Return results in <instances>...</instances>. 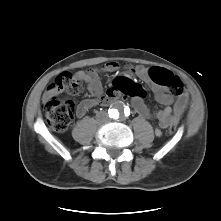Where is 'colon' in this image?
I'll return each instance as SVG.
<instances>
[{"mask_svg": "<svg viewBox=\"0 0 221 221\" xmlns=\"http://www.w3.org/2000/svg\"><path fill=\"white\" fill-rule=\"evenodd\" d=\"M151 76L157 84L167 87L176 96L183 93L181 80L172 73L156 68L151 70ZM79 88V83L75 82L71 75L66 72L59 74L49 87V93L44 100V109L48 123L54 131L63 132L67 130L74 117L73 103L60 100L57 95L64 90L77 93ZM123 92L130 97L141 98L147 94L144 87L134 82L128 83L123 88ZM170 130L173 132L175 127L171 126Z\"/></svg>", "mask_w": 221, "mask_h": 221, "instance_id": "1", "label": "colon"}]
</instances>
